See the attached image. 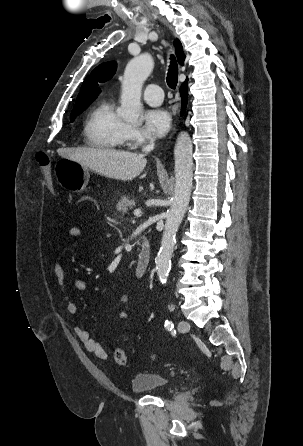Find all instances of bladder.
Instances as JSON below:
<instances>
[{
    "label": "bladder",
    "instance_id": "31cf9c89",
    "mask_svg": "<svg viewBox=\"0 0 303 446\" xmlns=\"http://www.w3.org/2000/svg\"><path fill=\"white\" fill-rule=\"evenodd\" d=\"M170 385V380L158 373L145 372L135 375L131 380V389L136 394L160 391Z\"/></svg>",
    "mask_w": 303,
    "mask_h": 446
}]
</instances>
